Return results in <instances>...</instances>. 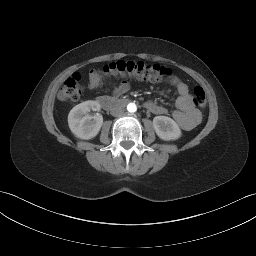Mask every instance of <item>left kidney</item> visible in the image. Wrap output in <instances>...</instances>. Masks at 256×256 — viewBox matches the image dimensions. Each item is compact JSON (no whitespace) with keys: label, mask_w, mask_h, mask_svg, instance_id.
I'll return each instance as SVG.
<instances>
[{"label":"left kidney","mask_w":256,"mask_h":256,"mask_svg":"<svg viewBox=\"0 0 256 256\" xmlns=\"http://www.w3.org/2000/svg\"><path fill=\"white\" fill-rule=\"evenodd\" d=\"M153 127L158 137L165 141L176 140L181 136L178 124L167 116L154 117Z\"/></svg>","instance_id":"5707ae66"}]
</instances>
